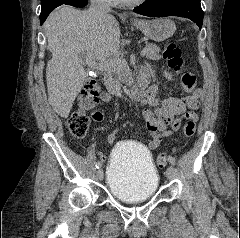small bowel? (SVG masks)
Returning <instances> with one entry per match:
<instances>
[{"label":"small bowel","instance_id":"1","mask_svg":"<svg viewBox=\"0 0 240 238\" xmlns=\"http://www.w3.org/2000/svg\"><path fill=\"white\" fill-rule=\"evenodd\" d=\"M141 72H147V70L143 69ZM184 91L187 94L186 96L169 97L160 101L156 96V85H152L147 89L141 104L144 107L143 116L149 132L150 148L158 147L164 137L177 131L184 119L197 120L198 116L195 111L200 106L199 100L202 97V90L193 88L192 90L184 89ZM99 99L108 102L111 100V96L106 92H102ZM90 115L94 121L102 122L105 120V114L100 109L93 110ZM107 143L109 146L115 145V131L109 135ZM99 159H106V154H99Z\"/></svg>","mask_w":240,"mask_h":238}]
</instances>
